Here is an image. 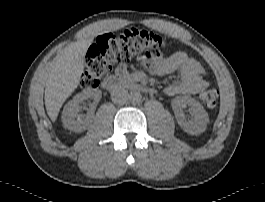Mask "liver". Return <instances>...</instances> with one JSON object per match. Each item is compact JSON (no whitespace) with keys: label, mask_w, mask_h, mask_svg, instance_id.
<instances>
[{"label":"liver","mask_w":265,"mask_h":202,"mask_svg":"<svg viewBox=\"0 0 265 202\" xmlns=\"http://www.w3.org/2000/svg\"><path fill=\"white\" fill-rule=\"evenodd\" d=\"M92 39L73 42L57 55L48 74L45 88V107L54 122L65 100L80 84L83 60Z\"/></svg>","instance_id":"1"}]
</instances>
